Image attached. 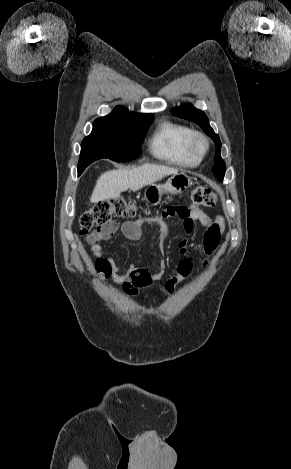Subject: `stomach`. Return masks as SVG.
Wrapping results in <instances>:
<instances>
[{
  "instance_id": "0dacf381",
  "label": "stomach",
  "mask_w": 291,
  "mask_h": 469,
  "mask_svg": "<svg viewBox=\"0 0 291 469\" xmlns=\"http://www.w3.org/2000/svg\"><path fill=\"white\" fill-rule=\"evenodd\" d=\"M191 184L192 180L188 174L177 172L172 174L163 185L150 184L144 192V199L152 205H157L160 203L164 193L181 194Z\"/></svg>"
}]
</instances>
